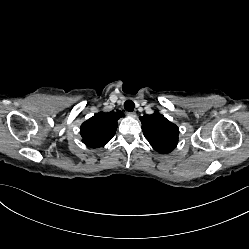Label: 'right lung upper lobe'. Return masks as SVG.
Here are the masks:
<instances>
[{
	"instance_id": "obj_1",
	"label": "right lung upper lobe",
	"mask_w": 249,
	"mask_h": 249,
	"mask_svg": "<svg viewBox=\"0 0 249 249\" xmlns=\"http://www.w3.org/2000/svg\"><path fill=\"white\" fill-rule=\"evenodd\" d=\"M124 116L121 111L95 114L80 127L82 141L91 148L104 146L114 136L118 119Z\"/></svg>"
}]
</instances>
